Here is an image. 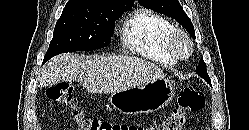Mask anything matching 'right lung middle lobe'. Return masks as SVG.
<instances>
[{"instance_id": "1", "label": "right lung middle lobe", "mask_w": 249, "mask_h": 130, "mask_svg": "<svg viewBox=\"0 0 249 130\" xmlns=\"http://www.w3.org/2000/svg\"><path fill=\"white\" fill-rule=\"evenodd\" d=\"M133 4H114L96 11L64 9L58 19L44 62L74 51L101 49L111 43L115 20Z\"/></svg>"}]
</instances>
